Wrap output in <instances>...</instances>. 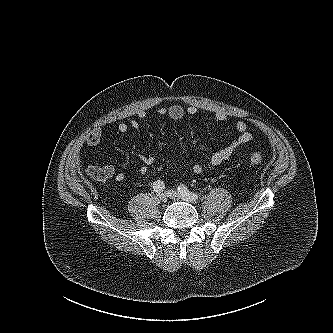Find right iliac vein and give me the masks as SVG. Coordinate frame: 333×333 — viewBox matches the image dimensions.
<instances>
[{
    "mask_svg": "<svg viewBox=\"0 0 333 333\" xmlns=\"http://www.w3.org/2000/svg\"><path fill=\"white\" fill-rule=\"evenodd\" d=\"M158 198L163 203L167 202V195L165 193H159Z\"/></svg>",
    "mask_w": 333,
    "mask_h": 333,
    "instance_id": "obj_1",
    "label": "right iliac vein"
}]
</instances>
